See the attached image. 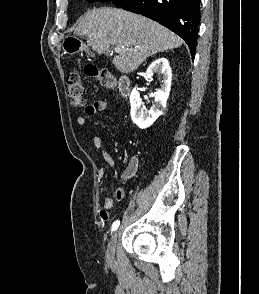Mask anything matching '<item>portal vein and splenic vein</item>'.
Returning <instances> with one entry per match:
<instances>
[{
  "instance_id": "1",
  "label": "portal vein and splenic vein",
  "mask_w": 259,
  "mask_h": 294,
  "mask_svg": "<svg viewBox=\"0 0 259 294\" xmlns=\"http://www.w3.org/2000/svg\"><path fill=\"white\" fill-rule=\"evenodd\" d=\"M123 49H124V47L117 45V46L114 48V51L117 52V53H119V52L123 51Z\"/></svg>"
}]
</instances>
